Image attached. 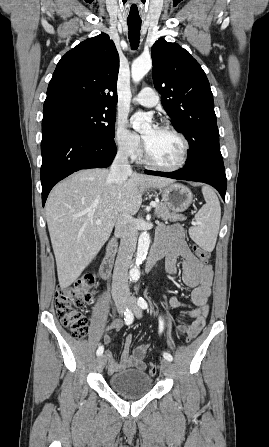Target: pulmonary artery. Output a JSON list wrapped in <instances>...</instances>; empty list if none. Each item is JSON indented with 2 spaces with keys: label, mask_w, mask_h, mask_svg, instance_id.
Returning a JSON list of instances; mask_svg holds the SVG:
<instances>
[{
  "label": "pulmonary artery",
  "mask_w": 269,
  "mask_h": 447,
  "mask_svg": "<svg viewBox=\"0 0 269 447\" xmlns=\"http://www.w3.org/2000/svg\"><path fill=\"white\" fill-rule=\"evenodd\" d=\"M133 101L145 107L153 108L159 104L160 97L154 89L145 87L133 98Z\"/></svg>",
  "instance_id": "pulmonary-artery-1"
}]
</instances>
